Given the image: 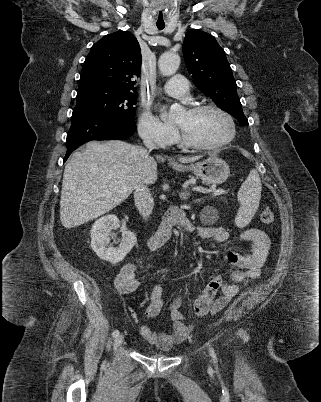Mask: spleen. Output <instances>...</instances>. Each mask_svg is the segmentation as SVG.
I'll return each mask as SVG.
<instances>
[{"label":"spleen","mask_w":321,"mask_h":402,"mask_svg":"<svg viewBox=\"0 0 321 402\" xmlns=\"http://www.w3.org/2000/svg\"><path fill=\"white\" fill-rule=\"evenodd\" d=\"M261 180L256 169H252L241 185L237 198L240 208L235 217V224L239 228L245 227L255 215L261 199Z\"/></svg>","instance_id":"obj_1"}]
</instances>
